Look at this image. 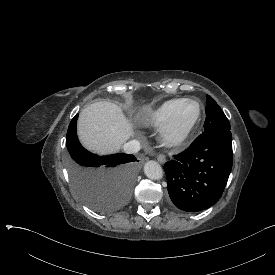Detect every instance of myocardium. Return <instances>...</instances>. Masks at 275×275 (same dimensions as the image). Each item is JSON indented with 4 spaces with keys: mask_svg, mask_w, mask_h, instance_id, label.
Here are the masks:
<instances>
[{
    "mask_svg": "<svg viewBox=\"0 0 275 275\" xmlns=\"http://www.w3.org/2000/svg\"><path fill=\"white\" fill-rule=\"evenodd\" d=\"M184 104H193L196 108V113L191 122L186 126H180L176 120V113L178 108ZM201 115V108L198 102L192 99H183L171 111V114L164 125L162 133V142L166 146H179L181 145L194 131L197 126Z\"/></svg>",
    "mask_w": 275,
    "mask_h": 275,
    "instance_id": "obj_1",
    "label": "myocardium"
}]
</instances>
